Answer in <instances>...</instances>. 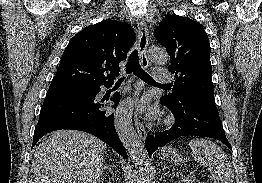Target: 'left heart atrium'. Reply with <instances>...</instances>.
<instances>
[{
    "mask_svg": "<svg viewBox=\"0 0 262 183\" xmlns=\"http://www.w3.org/2000/svg\"><path fill=\"white\" fill-rule=\"evenodd\" d=\"M137 110L138 112L144 114L147 117H154L156 115L155 109L148 107L147 102L145 100H141L137 104Z\"/></svg>",
    "mask_w": 262,
    "mask_h": 183,
    "instance_id": "left-heart-atrium-1",
    "label": "left heart atrium"
}]
</instances>
